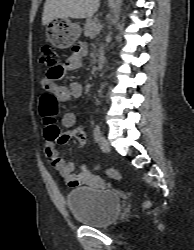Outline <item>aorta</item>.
I'll return each instance as SVG.
<instances>
[{
    "label": "aorta",
    "mask_w": 194,
    "mask_h": 250,
    "mask_svg": "<svg viewBox=\"0 0 194 250\" xmlns=\"http://www.w3.org/2000/svg\"><path fill=\"white\" fill-rule=\"evenodd\" d=\"M122 0H115L114 4V12H115V20L114 23L117 22L119 13L121 11Z\"/></svg>",
    "instance_id": "1"
}]
</instances>
